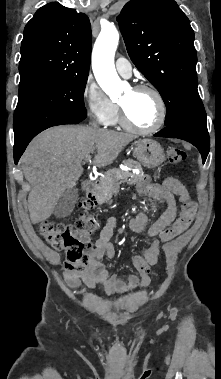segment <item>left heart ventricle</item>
<instances>
[{"instance_id": "obj_1", "label": "left heart ventricle", "mask_w": 221, "mask_h": 379, "mask_svg": "<svg viewBox=\"0 0 221 379\" xmlns=\"http://www.w3.org/2000/svg\"><path fill=\"white\" fill-rule=\"evenodd\" d=\"M130 122L141 128L152 126L158 116L155 97L149 92L129 90L120 100Z\"/></svg>"}]
</instances>
